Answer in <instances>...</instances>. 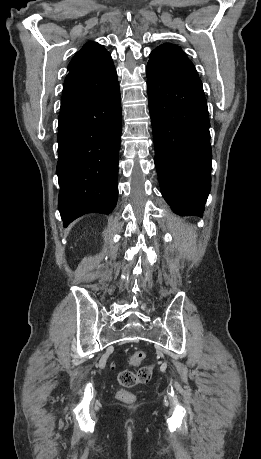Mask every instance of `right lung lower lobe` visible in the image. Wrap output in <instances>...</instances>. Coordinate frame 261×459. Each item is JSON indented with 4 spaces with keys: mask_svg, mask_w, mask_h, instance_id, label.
<instances>
[{
    "mask_svg": "<svg viewBox=\"0 0 261 459\" xmlns=\"http://www.w3.org/2000/svg\"><path fill=\"white\" fill-rule=\"evenodd\" d=\"M119 83L58 123V209L64 226L86 213L110 214L118 198Z\"/></svg>",
    "mask_w": 261,
    "mask_h": 459,
    "instance_id": "obj_1",
    "label": "right lung lower lobe"
}]
</instances>
